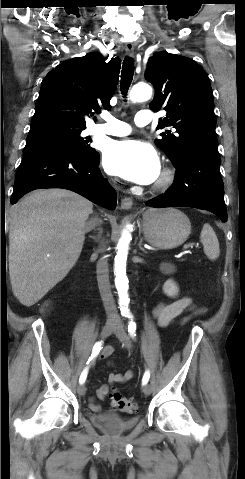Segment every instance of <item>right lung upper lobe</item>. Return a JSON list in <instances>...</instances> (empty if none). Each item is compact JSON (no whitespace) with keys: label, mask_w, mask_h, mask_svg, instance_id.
Listing matches in <instances>:
<instances>
[{"label":"right lung upper lobe","mask_w":245,"mask_h":479,"mask_svg":"<svg viewBox=\"0 0 245 479\" xmlns=\"http://www.w3.org/2000/svg\"><path fill=\"white\" fill-rule=\"evenodd\" d=\"M105 60L100 53H90L50 71L42 82L31 128L63 125L85 129V116L110 109L120 62L116 58L108 63Z\"/></svg>","instance_id":"right-lung-upper-lobe-1"}]
</instances>
